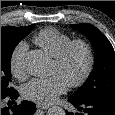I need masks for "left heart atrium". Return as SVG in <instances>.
Returning <instances> with one entry per match:
<instances>
[{"instance_id":"left-heart-atrium-1","label":"left heart atrium","mask_w":115,"mask_h":115,"mask_svg":"<svg viewBox=\"0 0 115 115\" xmlns=\"http://www.w3.org/2000/svg\"><path fill=\"white\" fill-rule=\"evenodd\" d=\"M67 90V83L58 75L46 79H33L21 89L23 98L40 105H49Z\"/></svg>"}]
</instances>
